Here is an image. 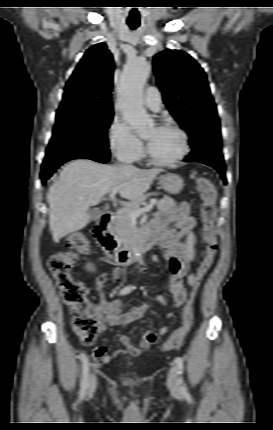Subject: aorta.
Wrapping results in <instances>:
<instances>
[{"instance_id": "762f6f07", "label": "aorta", "mask_w": 273, "mask_h": 430, "mask_svg": "<svg viewBox=\"0 0 273 430\" xmlns=\"http://www.w3.org/2000/svg\"><path fill=\"white\" fill-rule=\"evenodd\" d=\"M148 60L136 58L130 61L121 77L118 89V102L126 122L139 134L146 133L153 120L142 103V92L150 72ZM134 261H139V252L134 250Z\"/></svg>"}]
</instances>
